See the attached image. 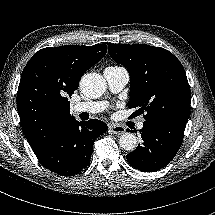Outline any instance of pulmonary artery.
Masks as SVG:
<instances>
[{"mask_svg": "<svg viewBox=\"0 0 215 215\" xmlns=\"http://www.w3.org/2000/svg\"><path fill=\"white\" fill-rule=\"evenodd\" d=\"M104 76L106 78L109 89L117 93L121 91L129 80V73L124 67H107L104 70ZM107 107L105 102H80L71 107V112L73 114L79 113H90L95 114L102 112ZM144 118L136 121L134 127L136 130L141 131L144 129L145 124Z\"/></svg>", "mask_w": 215, "mask_h": 215, "instance_id": "e3ab8cb5", "label": "pulmonary artery"}]
</instances>
